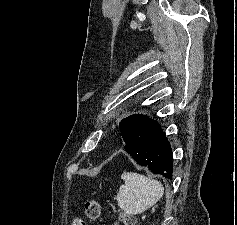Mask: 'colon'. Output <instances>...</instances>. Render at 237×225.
<instances>
[{
    "label": "colon",
    "instance_id": "colon-1",
    "mask_svg": "<svg viewBox=\"0 0 237 225\" xmlns=\"http://www.w3.org/2000/svg\"><path fill=\"white\" fill-rule=\"evenodd\" d=\"M85 213L88 219L94 221L99 219L101 215V205L95 200H90L85 204ZM71 225H87L86 221L81 217H74ZM116 225H136L134 216L126 213H121L116 221Z\"/></svg>",
    "mask_w": 237,
    "mask_h": 225
}]
</instances>
